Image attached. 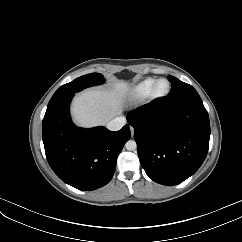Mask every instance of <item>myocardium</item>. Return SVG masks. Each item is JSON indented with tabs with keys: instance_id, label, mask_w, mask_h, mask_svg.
<instances>
[{
	"instance_id": "1",
	"label": "myocardium",
	"mask_w": 242,
	"mask_h": 242,
	"mask_svg": "<svg viewBox=\"0 0 242 242\" xmlns=\"http://www.w3.org/2000/svg\"><path fill=\"white\" fill-rule=\"evenodd\" d=\"M162 81H165V82L167 83L168 87H167V89H166L165 92H163V93H158V91H157V86H158V84H159L160 82H162ZM170 91H171V83L169 82V80H167L166 78H160V79H157V80L154 82V84H153V86H152V88H151V91H150V93H149V99H150L151 101H158V100H161V99L167 97V96L169 95Z\"/></svg>"
}]
</instances>
